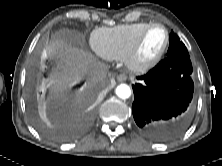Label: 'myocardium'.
I'll use <instances>...</instances> for the list:
<instances>
[{
    "label": "myocardium",
    "instance_id": "obj_1",
    "mask_svg": "<svg viewBox=\"0 0 222 166\" xmlns=\"http://www.w3.org/2000/svg\"><path fill=\"white\" fill-rule=\"evenodd\" d=\"M153 28L163 29V31L165 33L164 44H163L162 48L160 49V51L153 58H151L147 61H141L138 58L139 48L141 46V43H142L145 35ZM169 41H170V35L168 32V29L163 24H161V23L148 24L145 28H143L140 31V33L138 34V36L136 37V39L134 40V42L132 43V45L130 46L129 50L127 51V53L125 55V62H126L127 67L131 71H134V72H145V71L152 69L160 62V60L164 56V54L168 48Z\"/></svg>",
    "mask_w": 222,
    "mask_h": 166
}]
</instances>
